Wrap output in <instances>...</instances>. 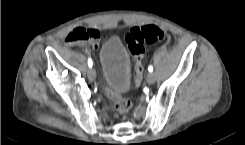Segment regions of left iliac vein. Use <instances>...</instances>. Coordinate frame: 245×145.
Here are the masks:
<instances>
[{
  "label": "left iliac vein",
  "instance_id": "left-iliac-vein-1",
  "mask_svg": "<svg viewBox=\"0 0 245 145\" xmlns=\"http://www.w3.org/2000/svg\"><path fill=\"white\" fill-rule=\"evenodd\" d=\"M147 82H148L149 84H152V83L155 82V75H154L153 73H149V74L147 75Z\"/></svg>",
  "mask_w": 245,
  "mask_h": 145
}]
</instances>
